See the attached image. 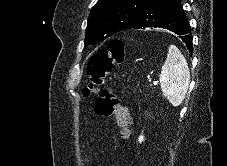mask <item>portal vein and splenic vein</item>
Wrapping results in <instances>:
<instances>
[{"label":"portal vein and splenic vein","instance_id":"obj_1","mask_svg":"<svg viewBox=\"0 0 227 166\" xmlns=\"http://www.w3.org/2000/svg\"><path fill=\"white\" fill-rule=\"evenodd\" d=\"M153 84H154V85H157V84H158V81H154Z\"/></svg>","mask_w":227,"mask_h":166}]
</instances>
